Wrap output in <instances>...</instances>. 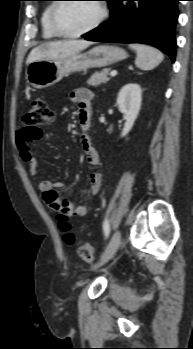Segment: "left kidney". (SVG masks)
Wrapping results in <instances>:
<instances>
[{
    "label": "left kidney",
    "mask_w": 193,
    "mask_h": 349,
    "mask_svg": "<svg viewBox=\"0 0 193 349\" xmlns=\"http://www.w3.org/2000/svg\"><path fill=\"white\" fill-rule=\"evenodd\" d=\"M141 101L142 91L138 84L129 83L120 89L117 97V104L120 112H122L126 118L121 137L127 135L132 129L140 111Z\"/></svg>",
    "instance_id": "left-kidney-1"
}]
</instances>
